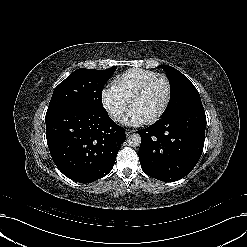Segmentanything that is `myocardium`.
Returning a JSON list of instances; mask_svg holds the SVG:
<instances>
[{"label":"myocardium","mask_w":247,"mask_h":247,"mask_svg":"<svg viewBox=\"0 0 247 247\" xmlns=\"http://www.w3.org/2000/svg\"><path fill=\"white\" fill-rule=\"evenodd\" d=\"M159 81L163 82L165 85V89H166L165 97H164L163 103H162L161 107L159 108V110L157 112H155L154 114L148 116L146 118V121L151 122V121L156 120L165 112L166 108L168 107L169 102H170V98H171V84H170L168 78L164 75H157V76L151 78L150 80L145 82L138 89V91L135 93V95L131 99L130 108H131V110H134L137 102L144 96V94L149 89V87L152 86L154 83L159 82Z\"/></svg>","instance_id":"1"}]
</instances>
